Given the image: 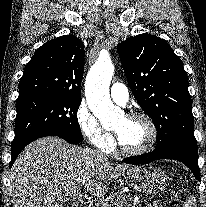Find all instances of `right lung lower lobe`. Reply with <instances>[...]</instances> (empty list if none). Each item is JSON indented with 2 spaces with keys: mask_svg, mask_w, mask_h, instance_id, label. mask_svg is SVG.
<instances>
[{
  "mask_svg": "<svg viewBox=\"0 0 206 207\" xmlns=\"http://www.w3.org/2000/svg\"><path fill=\"white\" fill-rule=\"evenodd\" d=\"M46 136H58V137H60V138H62L64 140H66L70 144H75V143L79 142L78 140L71 139V138H69L67 136H64L62 134L55 133V132H47V133L38 134V135L33 136L32 138L28 139L27 141L23 142L19 146L12 148V150H11V162H10L9 167L11 168V166L15 162L17 156L19 155V153L22 151V149L26 145H28L29 143H31L32 141H34V140H36L38 138L46 137Z\"/></svg>",
  "mask_w": 206,
  "mask_h": 207,
  "instance_id": "obj_1",
  "label": "right lung lower lobe"
}]
</instances>
